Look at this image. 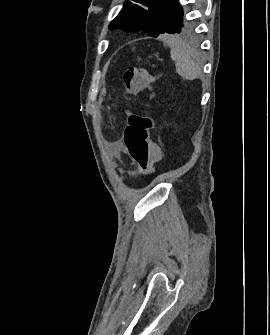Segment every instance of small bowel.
<instances>
[{
	"mask_svg": "<svg viewBox=\"0 0 270 335\" xmlns=\"http://www.w3.org/2000/svg\"><path fill=\"white\" fill-rule=\"evenodd\" d=\"M112 148L116 153H119L123 150V143L120 140L115 141L112 144Z\"/></svg>",
	"mask_w": 270,
	"mask_h": 335,
	"instance_id": "c3829d8e",
	"label": "small bowel"
}]
</instances>
